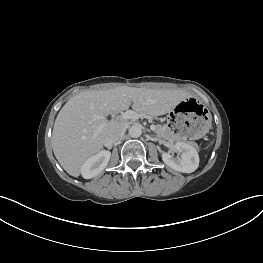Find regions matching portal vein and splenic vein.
<instances>
[{
    "label": "portal vein and splenic vein",
    "instance_id": "18ae733b",
    "mask_svg": "<svg viewBox=\"0 0 263 263\" xmlns=\"http://www.w3.org/2000/svg\"><path fill=\"white\" fill-rule=\"evenodd\" d=\"M92 117H93L94 119H104V120L108 121L107 118L102 117V116H100V115L93 114ZM120 118H121V119H138V118H139V114L136 113V112L133 111V110H127V111L121 113ZM103 127H104L103 124H101L99 127H97V129H96V131H95V135H97L98 133H100V131L102 130ZM150 129H151L153 132H155V130H156V125H153V124H152V125L150 126Z\"/></svg>",
    "mask_w": 263,
    "mask_h": 263
}]
</instances>
